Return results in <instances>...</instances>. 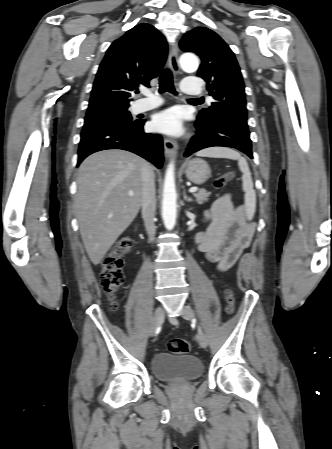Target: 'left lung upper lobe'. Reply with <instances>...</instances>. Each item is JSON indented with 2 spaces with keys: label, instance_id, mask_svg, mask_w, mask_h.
Wrapping results in <instances>:
<instances>
[{
  "label": "left lung upper lobe",
  "instance_id": "obj_1",
  "mask_svg": "<svg viewBox=\"0 0 332 449\" xmlns=\"http://www.w3.org/2000/svg\"><path fill=\"white\" fill-rule=\"evenodd\" d=\"M180 48L200 57L198 76L207 82L209 95L214 98L209 108L199 112L196 124L231 117L247 119L244 83L229 46L214 31L197 27L183 36Z\"/></svg>",
  "mask_w": 332,
  "mask_h": 449
}]
</instances>
